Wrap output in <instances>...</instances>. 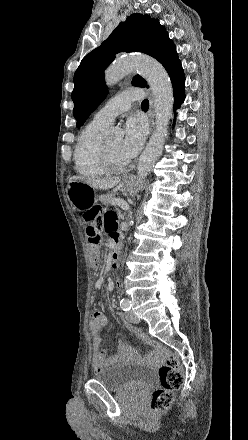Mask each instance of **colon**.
I'll return each mask as SVG.
<instances>
[{
    "mask_svg": "<svg viewBox=\"0 0 248 440\" xmlns=\"http://www.w3.org/2000/svg\"><path fill=\"white\" fill-rule=\"evenodd\" d=\"M84 220L89 224L86 229V237L92 248L90 259L93 265L98 263V253L96 247L100 243V229L102 218L100 209L92 206L83 215ZM137 337L146 345L152 347L155 352L164 356V362L158 370L160 387L152 394L150 413L158 415L165 413L174 400V393L182 386L184 375L181 364L177 357L164 345L150 339L143 333H138Z\"/></svg>",
    "mask_w": 248,
    "mask_h": 440,
    "instance_id": "colon-1",
    "label": "colon"
}]
</instances>
